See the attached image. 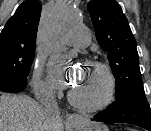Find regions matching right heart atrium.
Masks as SVG:
<instances>
[{"label": "right heart atrium", "mask_w": 151, "mask_h": 131, "mask_svg": "<svg viewBox=\"0 0 151 131\" xmlns=\"http://www.w3.org/2000/svg\"><path fill=\"white\" fill-rule=\"evenodd\" d=\"M33 87L38 96H47L50 93L48 83L43 77V64L40 59L34 64Z\"/></svg>", "instance_id": "1"}]
</instances>
